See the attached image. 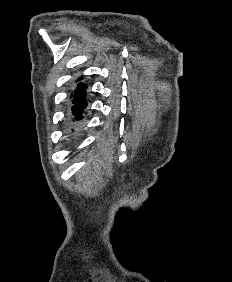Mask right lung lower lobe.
<instances>
[{"label": "right lung lower lobe", "instance_id": "obj_1", "mask_svg": "<svg viewBox=\"0 0 232 282\" xmlns=\"http://www.w3.org/2000/svg\"><path fill=\"white\" fill-rule=\"evenodd\" d=\"M85 89H86V84L78 83L72 95L73 106L71 108V112L76 121H79L83 118L82 113L84 112V109L87 106V102L85 100V95H86Z\"/></svg>", "mask_w": 232, "mask_h": 282}]
</instances>
